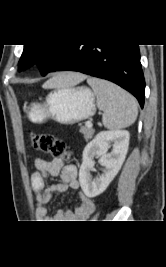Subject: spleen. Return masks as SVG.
<instances>
[{
    "instance_id": "spleen-1",
    "label": "spleen",
    "mask_w": 166,
    "mask_h": 267,
    "mask_svg": "<svg viewBox=\"0 0 166 267\" xmlns=\"http://www.w3.org/2000/svg\"><path fill=\"white\" fill-rule=\"evenodd\" d=\"M87 82L95 92L98 108L104 112L102 122L106 128H125L135 122L138 108L132 95L106 80L89 78Z\"/></svg>"
}]
</instances>
